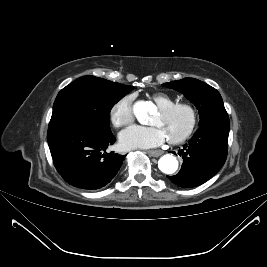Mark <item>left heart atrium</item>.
<instances>
[{
	"label": "left heart atrium",
	"mask_w": 267,
	"mask_h": 267,
	"mask_svg": "<svg viewBox=\"0 0 267 267\" xmlns=\"http://www.w3.org/2000/svg\"><path fill=\"white\" fill-rule=\"evenodd\" d=\"M166 139L165 132L158 126H131L119 136L121 145L126 149L153 148L161 145Z\"/></svg>",
	"instance_id": "1"
}]
</instances>
